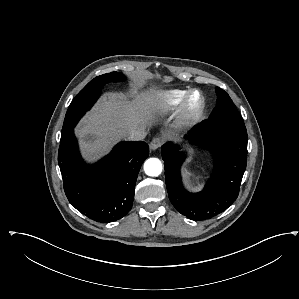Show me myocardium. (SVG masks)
I'll list each match as a JSON object with an SVG mask.
<instances>
[{
    "label": "myocardium",
    "mask_w": 299,
    "mask_h": 299,
    "mask_svg": "<svg viewBox=\"0 0 299 299\" xmlns=\"http://www.w3.org/2000/svg\"><path fill=\"white\" fill-rule=\"evenodd\" d=\"M193 97L197 98L195 103L192 102ZM205 105V97L201 91L197 89L187 91L179 104L177 123L185 125L197 120L202 115Z\"/></svg>",
    "instance_id": "f54148a6"
}]
</instances>
